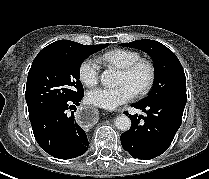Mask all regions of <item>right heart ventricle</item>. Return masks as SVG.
<instances>
[{
    "mask_svg": "<svg viewBox=\"0 0 209 179\" xmlns=\"http://www.w3.org/2000/svg\"><path fill=\"white\" fill-rule=\"evenodd\" d=\"M140 58L137 51L117 48L101 54L97 60L107 67L122 69Z\"/></svg>",
    "mask_w": 209,
    "mask_h": 179,
    "instance_id": "right-heart-ventricle-1",
    "label": "right heart ventricle"
}]
</instances>
